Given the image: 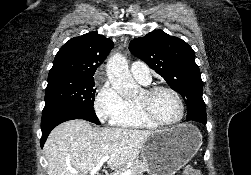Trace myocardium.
I'll use <instances>...</instances> for the list:
<instances>
[{"label": "myocardium", "instance_id": "obj_1", "mask_svg": "<svg viewBox=\"0 0 251 175\" xmlns=\"http://www.w3.org/2000/svg\"><path fill=\"white\" fill-rule=\"evenodd\" d=\"M143 91L148 96H152L159 91H170L174 93L175 96L177 97L181 106V110H182L181 117L178 122L173 123V124H166V123L161 122L148 107L143 106L139 103H136L137 109L140 112V114L144 116L151 124L159 128H177L179 126H182L185 123L187 119V107H186L182 94L177 89L171 86H167V85H158V86L145 88Z\"/></svg>", "mask_w": 251, "mask_h": 175}]
</instances>
